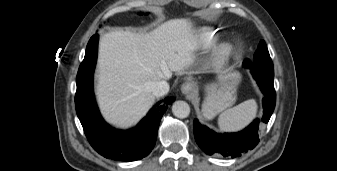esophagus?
<instances>
[{"mask_svg": "<svg viewBox=\"0 0 337 171\" xmlns=\"http://www.w3.org/2000/svg\"><path fill=\"white\" fill-rule=\"evenodd\" d=\"M194 91V84L192 82H184L181 86V92L185 95L192 94Z\"/></svg>", "mask_w": 337, "mask_h": 171, "instance_id": "34e87169", "label": "esophagus"}]
</instances>
